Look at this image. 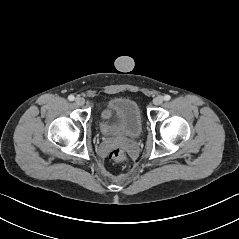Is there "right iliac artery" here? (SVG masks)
Segmentation results:
<instances>
[{
    "instance_id": "82829eb1",
    "label": "right iliac artery",
    "mask_w": 239,
    "mask_h": 239,
    "mask_svg": "<svg viewBox=\"0 0 239 239\" xmlns=\"http://www.w3.org/2000/svg\"><path fill=\"white\" fill-rule=\"evenodd\" d=\"M68 99H69L70 101H73V100L75 99V97H74L73 95H70V96L68 97Z\"/></svg>"
}]
</instances>
